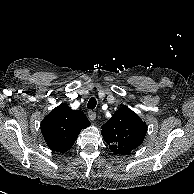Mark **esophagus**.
Returning a JSON list of instances; mask_svg holds the SVG:
<instances>
[{
  "instance_id": "1",
  "label": "esophagus",
  "mask_w": 194,
  "mask_h": 194,
  "mask_svg": "<svg viewBox=\"0 0 194 194\" xmlns=\"http://www.w3.org/2000/svg\"><path fill=\"white\" fill-rule=\"evenodd\" d=\"M88 117L91 121H94L96 119V113L94 111H89Z\"/></svg>"
}]
</instances>
